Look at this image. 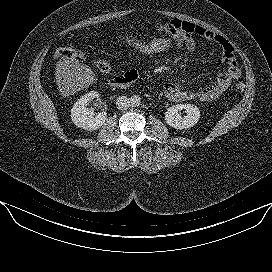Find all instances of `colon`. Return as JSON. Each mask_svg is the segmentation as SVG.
I'll return each mask as SVG.
<instances>
[{
    "mask_svg": "<svg viewBox=\"0 0 272 272\" xmlns=\"http://www.w3.org/2000/svg\"><path fill=\"white\" fill-rule=\"evenodd\" d=\"M120 44L128 51L139 56H157L172 53L178 49L174 40L169 37H138L126 36L119 39ZM55 57L70 60H83L86 58L82 51L71 48L61 47L55 51ZM97 71L107 73L110 71V65L105 60H98L94 63ZM239 91H244L245 84L239 82L236 84Z\"/></svg>",
    "mask_w": 272,
    "mask_h": 272,
    "instance_id": "colon-1",
    "label": "colon"
}]
</instances>
